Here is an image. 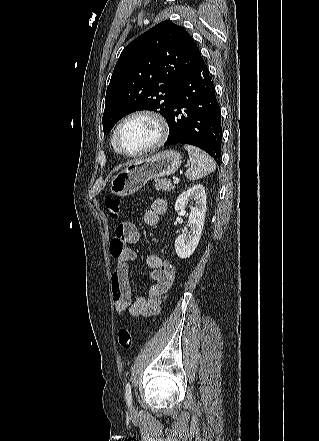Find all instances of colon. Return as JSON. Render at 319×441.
Returning <instances> with one entry per match:
<instances>
[{
    "instance_id": "5ec220e1",
    "label": "colon",
    "mask_w": 319,
    "mask_h": 441,
    "mask_svg": "<svg viewBox=\"0 0 319 441\" xmlns=\"http://www.w3.org/2000/svg\"><path fill=\"white\" fill-rule=\"evenodd\" d=\"M105 207L111 219L116 220L120 217L122 210L118 198H106ZM118 343L123 349H129L132 346L133 335L129 328H121L118 331Z\"/></svg>"
}]
</instances>
